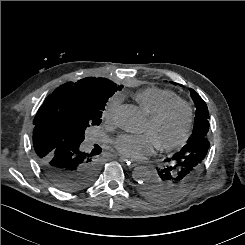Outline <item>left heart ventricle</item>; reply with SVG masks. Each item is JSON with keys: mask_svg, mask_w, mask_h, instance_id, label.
Returning a JSON list of instances; mask_svg holds the SVG:
<instances>
[{"mask_svg": "<svg viewBox=\"0 0 245 245\" xmlns=\"http://www.w3.org/2000/svg\"><path fill=\"white\" fill-rule=\"evenodd\" d=\"M186 118L185 108L176 106L159 122L152 124L148 120L143 132L149 134L156 145L172 143L182 135Z\"/></svg>", "mask_w": 245, "mask_h": 245, "instance_id": "left-heart-ventricle-1", "label": "left heart ventricle"}]
</instances>
